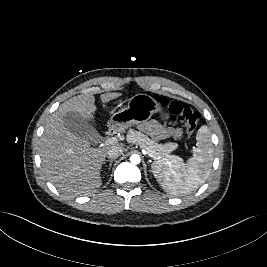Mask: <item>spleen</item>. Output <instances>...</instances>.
<instances>
[{
  "label": "spleen",
  "mask_w": 267,
  "mask_h": 267,
  "mask_svg": "<svg viewBox=\"0 0 267 267\" xmlns=\"http://www.w3.org/2000/svg\"><path fill=\"white\" fill-rule=\"evenodd\" d=\"M196 148L186 164L180 158L155 161L152 172L159 184L171 195H186L201 186L208 178L213 161L210 129L203 125L196 135Z\"/></svg>",
  "instance_id": "obj_1"
}]
</instances>
